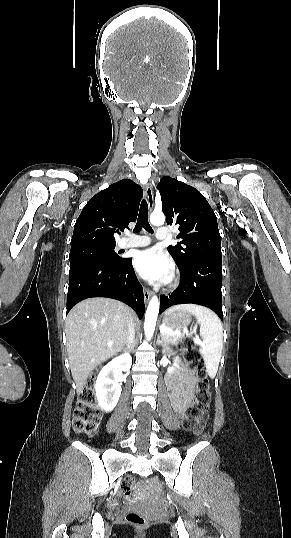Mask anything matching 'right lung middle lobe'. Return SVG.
<instances>
[{
  "label": "right lung middle lobe",
  "mask_w": 291,
  "mask_h": 538,
  "mask_svg": "<svg viewBox=\"0 0 291 538\" xmlns=\"http://www.w3.org/2000/svg\"><path fill=\"white\" fill-rule=\"evenodd\" d=\"M115 246L116 245H89L71 249L69 255L70 265L92 261L119 262L124 258L119 257L114 251Z\"/></svg>",
  "instance_id": "right-lung-middle-lobe-1"
}]
</instances>
